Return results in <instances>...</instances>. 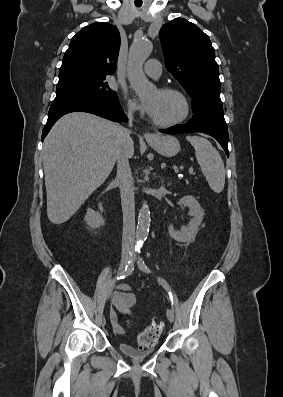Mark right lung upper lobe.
<instances>
[{"instance_id": "right-lung-upper-lobe-1", "label": "right lung upper lobe", "mask_w": 283, "mask_h": 397, "mask_svg": "<svg viewBox=\"0 0 283 397\" xmlns=\"http://www.w3.org/2000/svg\"><path fill=\"white\" fill-rule=\"evenodd\" d=\"M120 48L119 31L106 22L79 31L65 52L59 76L66 73L109 76L114 74Z\"/></svg>"}]
</instances>
